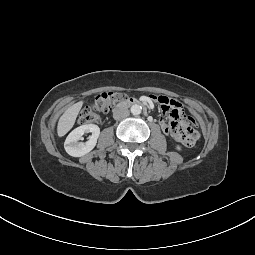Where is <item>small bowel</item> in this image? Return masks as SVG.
<instances>
[{
    "label": "small bowel",
    "instance_id": "c3829d8e",
    "mask_svg": "<svg viewBox=\"0 0 255 255\" xmlns=\"http://www.w3.org/2000/svg\"><path fill=\"white\" fill-rule=\"evenodd\" d=\"M161 109L166 112L165 117L160 118L161 129L177 142L196 147L199 144L198 127L182 105L170 97H165L161 101Z\"/></svg>",
    "mask_w": 255,
    "mask_h": 255
}]
</instances>
